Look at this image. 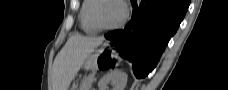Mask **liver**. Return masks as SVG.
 I'll list each match as a JSON object with an SVG mask.
<instances>
[{
  "instance_id": "6515ba94",
  "label": "liver",
  "mask_w": 228,
  "mask_h": 90,
  "mask_svg": "<svg viewBox=\"0 0 228 90\" xmlns=\"http://www.w3.org/2000/svg\"><path fill=\"white\" fill-rule=\"evenodd\" d=\"M102 37H86L79 34L71 36L53 65V90H68L88 56L103 42Z\"/></svg>"
}]
</instances>
